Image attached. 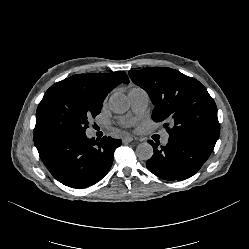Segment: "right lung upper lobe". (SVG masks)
Listing matches in <instances>:
<instances>
[{
  "label": "right lung upper lobe",
  "mask_w": 249,
  "mask_h": 249,
  "mask_svg": "<svg viewBox=\"0 0 249 249\" xmlns=\"http://www.w3.org/2000/svg\"><path fill=\"white\" fill-rule=\"evenodd\" d=\"M121 83H129V79L123 71L111 72L107 74H77L57 82L52 86L79 87L88 92L95 100L103 103L107 94Z\"/></svg>",
  "instance_id": "1"
}]
</instances>
